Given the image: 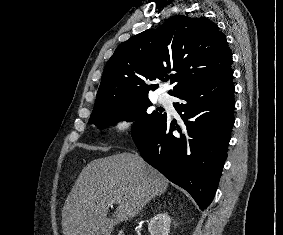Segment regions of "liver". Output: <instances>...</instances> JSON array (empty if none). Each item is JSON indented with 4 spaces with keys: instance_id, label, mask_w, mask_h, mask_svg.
Listing matches in <instances>:
<instances>
[{
    "instance_id": "obj_1",
    "label": "liver",
    "mask_w": 283,
    "mask_h": 235,
    "mask_svg": "<svg viewBox=\"0 0 283 235\" xmlns=\"http://www.w3.org/2000/svg\"><path fill=\"white\" fill-rule=\"evenodd\" d=\"M168 180L138 154L121 153L88 163L79 174L62 210L64 235H110L114 223L135 217ZM113 198L118 207L108 220Z\"/></svg>"
}]
</instances>
